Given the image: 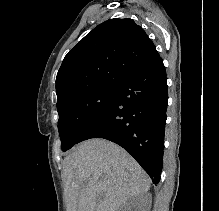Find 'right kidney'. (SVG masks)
<instances>
[{
	"label": "right kidney",
	"mask_w": 219,
	"mask_h": 211,
	"mask_svg": "<svg viewBox=\"0 0 219 211\" xmlns=\"http://www.w3.org/2000/svg\"><path fill=\"white\" fill-rule=\"evenodd\" d=\"M142 201L144 203V211H150L151 209L150 195H144ZM139 203L140 201L139 199H136V197H134V199H129L128 203H125V205H123L122 211H131L132 207H135V205H139ZM132 211H134V209H132Z\"/></svg>",
	"instance_id": "1"
}]
</instances>
